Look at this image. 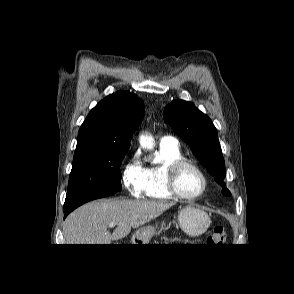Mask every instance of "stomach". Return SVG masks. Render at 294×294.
<instances>
[{
	"mask_svg": "<svg viewBox=\"0 0 294 294\" xmlns=\"http://www.w3.org/2000/svg\"><path fill=\"white\" fill-rule=\"evenodd\" d=\"M178 222L180 228L189 236L197 237L202 235L210 226L208 214L193 206H186L179 211ZM155 234V228L145 226L138 229L134 235V240L146 244ZM133 244H137L135 241Z\"/></svg>",
	"mask_w": 294,
	"mask_h": 294,
	"instance_id": "0dacf381",
	"label": "stomach"
}]
</instances>
